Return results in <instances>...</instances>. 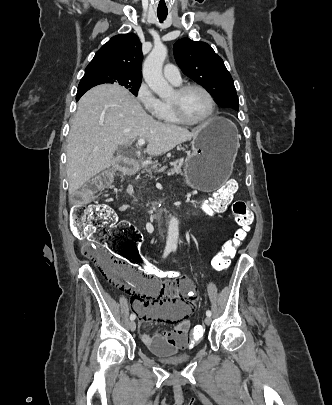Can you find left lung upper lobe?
Listing matches in <instances>:
<instances>
[{"mask_svg": "<svg viewBox=\"0 0 332 405\" xmlns=\"http://www.w3.org/2000/svg\"><path fill=\"white\" fill-rule=\"evenodd\" d=\"M173 51L184 74L210 92L220 106L238 111L239 101L233 79L221 57L209 44L183 38L174 44Z\"/></svg>", "mask_w": 332, "mask_h": 405, "instance_id": "obj_1", "label": "left lung upper lobe"}]
</instances>
